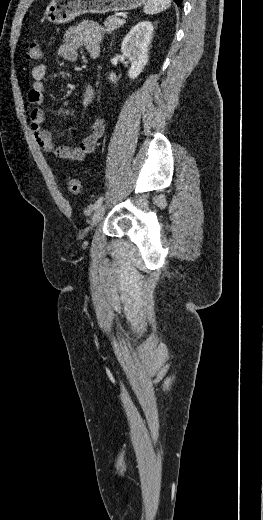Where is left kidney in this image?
Returning <instances> with one entry per match:
<instances>
[{
    "label": "left kidney",
    "mask_w": 263,
    "mask_h": 520,
    "mask_svg": "<svg viewBox=\"0 0 263 520\" xmlns=\"http://www.w3.org/2000/svg\"><path fill=\"white\" fill-rule=\"evenodd\" d=\"M153 29L151 22L142 21L131 28L122 42L121 51L131 62L128 71L131 79L138 77L148 62V46L152 39ZM109 76V80L116 82L115 73H111Z\"/></svg>",
    "instance_id": "5707ae66"
}]
</instances>
